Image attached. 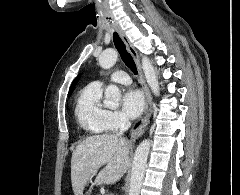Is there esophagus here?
Masks as SVG:
<instances>
[{
	"mask_svg": "<svg viewBox=\"0 0 240 195\" xmlns=\"http://www.w3.org/2000/svg\"><path fill=\"white\" fill-rule=\"evenodd\" d=\"M112 27L116 30L118 35H120L121 39L125 43V46H126L128 52L133 57V60L136 63V66H137V69H138V72H139V77H140V80H141V83L144 87V92H145L144 115L142 117L140 126L132 132L131 142H133V141L137 140V138H139L142 135V133L145 131L148 123L150 122V117H151V113H152V97H151L149 88L147 87L146 82L144 80V76H143V73H142V67H141V63H140L138 53L136 52L135 48L133 47L132 43L130 42V40L127 37L124 30H122L121 26L117 25V24H112Z\"/></svg>",
	"mask_w": 240,
	"mask_h": 195,
	"instance_id": "34e87169",
	"label": "esophagus"
}]
</instances>
